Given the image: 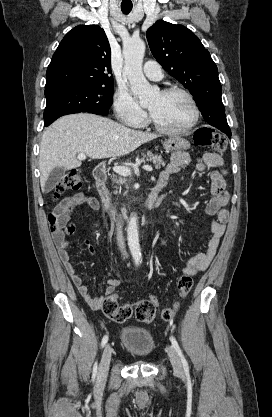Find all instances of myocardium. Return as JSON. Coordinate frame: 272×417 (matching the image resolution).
I'll use <instances>...</instances> for the list:
<instances>
[{
    "label": "myocardium",
    "mask_w": 272,
    "mask_h": 417,
    "mask_svg": "<svg viewBox=\"0 0 272 417\" xmlns=\"http://www.w3.org/2000/svg\"><path fill=\"white\" fill-rule=\"evenodd\" d=\"M160 93L163 96H168V95H172V94H182L183 96H185L187 98V100L189 101V103L191 105V108H192V111H193L192 119H191L190 123L183 128L170 129V128H166V127L160 125L154 119L153 115L149 111L148 112V122H149V124L151 126H153L157 131H159L163 134H167V135H183V134H186V133L190 132L197 125V123L199 121V118H200V109H199L197 101L195 100L192 93L189 92L188 90H186L185 88H182V87L165 88Z\"/></svg>",
    "instance_id": "obj_1"
}]
</instances>
